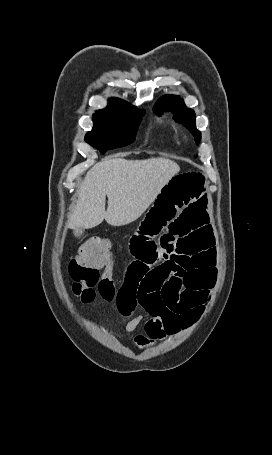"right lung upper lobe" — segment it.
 <instances>
[{
  "label": "right lung upper lobe",
  "mask_w": 272,
  "mask_h": 455,
  "mask_svg": "<svg viewBox=\"0 0 272 455\" xmlns=\"http://www.w3.org/2000/svg\"><path fill=\"white\" fill-rule=\"evenodd\" d=\"M128 106H131V105L123 100H120L117 98H111V99H109L108 107L105 109H102V110H98V111H96V113L116 112V111L125 109Z\"/></svg>",
  "instance_id": "obj_1"
}]
</instances>
